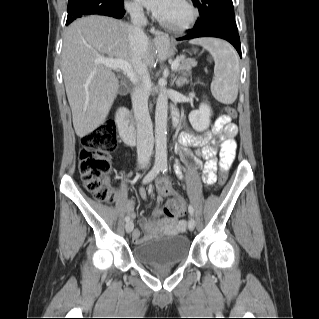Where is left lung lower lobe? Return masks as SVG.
Segmentation results:
<instances>
[{
  "label": "left lung lower lobe",
  "mask_w": 319,
  "mask_h": 319,
  "mask_svg": "<svg viewBox=\"0 0 319 319\" xmlns=\"http://www.w3.org/2000/svg\"><path fill=\"white\" fill-rule=\"evenodd\" d=\"M198 37H216L224 39L230 42L237 50L240 57H242L240 38L237 32V28H232L221 24L205 25L201 27H195L191 33L186 36L177 38V40H187Z\"/></svg>",
  "instance_id": "0a47b994"
}]
</instances>
